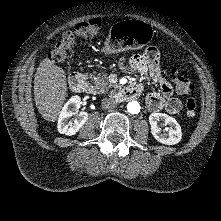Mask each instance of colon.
Segmentation results:
<instances>
[{
	"label": "colon",
	"mask_w": 221,
	"mask_h": 221,
	"mask_svg": "<svg viewBox=\"0 0 221 221\" xmlns=\"http://www.w3.org/2000/svg\"><path fill=\"white\" fill-rule=\"evenodd\" d=\"M100 29L101 20L99 18H90L78 23L72 31H67L62 35L50 54V60L54 63L68 60L73 55L78 41L97 36ZM146 54L153 62H156L159 58V53L155 48L149 49ZM174 81L179 93L185 95L186 116L194 117L197 111V100L193 95L194 87L192 83L176 70L174 71Z\"/></svg>",
	"instance_id": "obj_1"
}]
</instances>
